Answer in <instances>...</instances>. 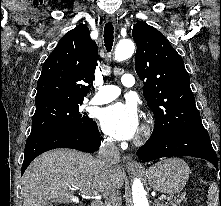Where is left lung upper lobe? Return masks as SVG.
<instances>
[{"mask_svg": "<svg viewBox=\"0 0 221 206\" xmlns=\"http://www.w3.org/2000/svg\"><path fill=\"white\" fill-rule=\"evenodd\" d=\"M132 36L137 45L135 69L155 115L151 137L206 131L181 56L161 32L144 22L136 23Z\"/></svg>", "mask_w": 221, "mask_h": 206, "instance_id": "obj_1", "label": "left lung upper lobe"}]
</instances>
